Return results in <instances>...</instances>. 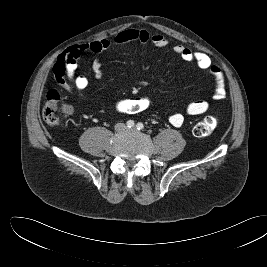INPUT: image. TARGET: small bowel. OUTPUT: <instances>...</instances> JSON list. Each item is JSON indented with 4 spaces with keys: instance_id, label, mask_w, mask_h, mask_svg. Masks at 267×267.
<instances>
[{
    "instance_id": "obj_1",
    "label": "small bowel",
    "mask_w": 267,
    "mask_h": 267,
    "mask_svg": "<svg viewBox=\"0 0 267 267\" xmlns=\"http://www.w3.org/2000/svg\"><path fill=\"white\" fill-rule=\"evenodd\" d=\"M130 42L148 43L151 42L157 47H166L168 39L159 33H149L143 29H127L119 32L113 39H100L84 44H78L68 47L56 59L53 66V74L58 85L67 93H72V88L68 81H71L77 92L81 95L87 88L89 81L84 75H77L78 59L83 54H99L112 45L125 44ZM173 51L186 62H193L198 68L208 71L213 77L214 92L213 99L221 100L226 96L225 78L216 65H214L209 56L200 51H193L182 44L173 46ZM92 73L95 78L103 77L102 64L99 59L92 63ZM209 109V103L206 100H196L190 102L185 107L184 113L175 112L169 115V122L180 127L185 121V115H200Z\"/></svg>"
}]
</instances>
